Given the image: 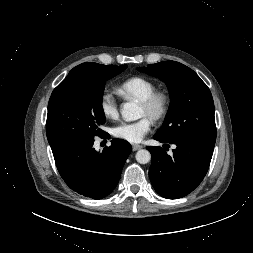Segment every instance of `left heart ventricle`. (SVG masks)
Returning <instances> with one entry per match:
<instances>
[{"instance_id":"left-heart-ventricle-1","label":"left heart ventricle","mask_w":253,"mask_h":253,"mask_svg":"<svg viewBox=\"0 0 253 253\" xmlns=\"http://www.w3.org/2000/svg\"><path fill=\"white\" fill-rule=\"evenodd\" d=\"M139 115L140 116H149L148 110L143 105H140Z\"/></svg>"}]
</instances>
